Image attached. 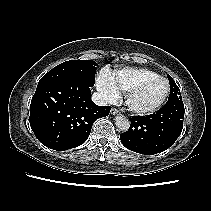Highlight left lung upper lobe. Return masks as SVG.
<instances>
[{
	"label": "left lung upper lobe",
	"instance_id": "5c2ea615",
	"mask_svg": "<svg viewBox=\"0 0 211 211\" xmlns=\"http://www.w3.org/2000/svg\"><path fill=\"white\" fill-rule=\"evenodd\" d=\"M168 80L170 83V95H169L168 102L175 101V100H181L182 99L181 93H180V90H179L178 86L176 85L175 81L169 75H168Z\"/></svg>",
	"mask_w": 211,
	"mask_h": 211
}]
</instances>
